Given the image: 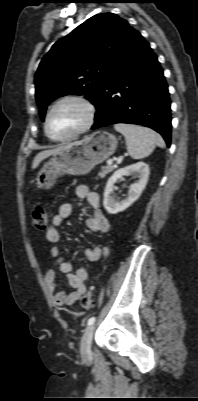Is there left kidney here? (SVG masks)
I'll use <instances>...</instances> for the list:
<instances>
[{"instance_id": "1", "label": "left kidney", "mask_w": 198, "mask_h": 401, "mask_svg": "<svg viewBox=\"0 0 198 401\" xmlns=\"http://www.w3.org/2000/svg\"><path fill=\"white\" fill-rule=\"evenodd\" d=\"M127 174H134L138 178V181L130 186L128 197L119 201L113 192L114 184L118 179ZM148 177L149 166L144 162H138L116 170L109 178L104 190L103 205L107 212L110 214H117L131 206L140 197L147 184Z\"/></svg>"}]
</instances>
